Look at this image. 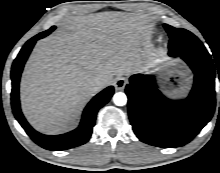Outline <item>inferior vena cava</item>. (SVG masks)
I'll use <instances>...</instances> for the list:
<instances>
[{
  "label": "inferior vena cava",
  "instance_id": "602c4592",
  "mask_svg": "<svg viewBox=\"0 0 220 173\" xmlns=\"http://www.w3.org/2000/svg\"><path fill=\"white\" fill-rule=\"evenodd\" d=\"M106 85H108V80L103 79V78H97L93 81L92 86L97 89H102Z\"/></svg>",
  "mask_w": 220,
  "mask_h": 173
}]
</instances>
